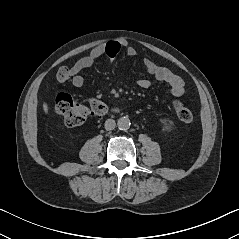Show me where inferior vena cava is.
Instances as JSON below:
<instances>
[{
    "label": "inferior vena cava",
    "mask_w": 239,
    "mask_h": 239,
    "mask_svg": "<svg viewBox=\"0 0 239 239\" xmlns=\"http://www.w3.org/2000/svg\"><path fill=\"white\" fill-rule=\"evenodd\" d=\"M104 126H105L106 130H113L115 128V126H116V123H115V121L113 119H107L105 121Z\"/></svg>",
    "instance_id": "obj_1"
}]
</instances>
